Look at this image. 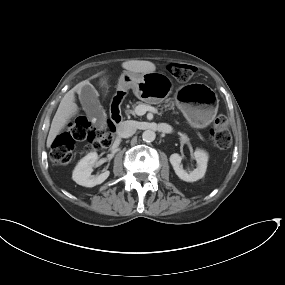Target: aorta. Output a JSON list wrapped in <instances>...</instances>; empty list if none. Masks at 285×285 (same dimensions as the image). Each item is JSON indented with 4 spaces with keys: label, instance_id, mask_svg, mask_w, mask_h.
I'll return each instance as SVG.
<instances>
[{
    "label": "aorta",
    "instance_id": "aorta-1",
    "mask_svg": "<svg viewBox=\"0 0 285 285\" xmlns=\"http://www.w3.org/2000/svg\"><path fill=\"white\" fill-rule=\"evenodd\" d=\"M156 138V134L153 130H145L143 133H142V139L143 141L145 142H153Z\"/></svg>",
    "mask_w": 285,
    "mask_h": 285
}]
</instances>
